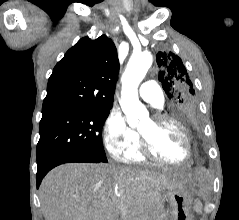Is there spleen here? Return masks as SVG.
I'll return each instance as SVG.
<instances>
[{
  "label": "spleen",
  "mask_w": 239,
  "mask_h": 220,
  "mask_svg": "<svg viewBox=\"0 0 239 220\" xmlns=\"http://www.w3.org/2000/svg\"><path fill=\"white\" fill-rule=\"evenodd\" d=\"M201 207H202L201 203L199 201H196L195 202V210L197 213L201 212Z\"/></svg>",
  "instance_id": "3e777b00"
}]
</instances>
